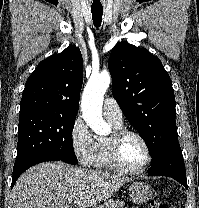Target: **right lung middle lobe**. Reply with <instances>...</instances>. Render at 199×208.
Returning a JSON list of instances; mask_svg holds the SVG:
<instances>
[{
	"label": "right lung middle lobe",
	"instance_id": "obj_1",
	"mask_svg": "<svg viewBox=\"0 0 199 208\" xmlns=\"http://www.w3.org/2000/svg\"><path fill=\"white\" fill-rule=\"evenodd\" d=\"M76 115L41 111L20 113L18 150L13 170L43 158H57L77 164L72 130Z\"/></svg>",
	"mask_w": 199,
	"mask_h": 208
}]
</instances>
